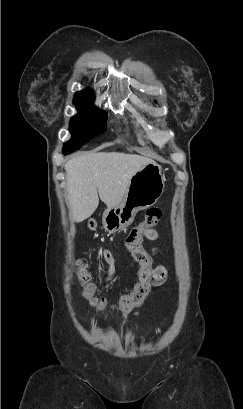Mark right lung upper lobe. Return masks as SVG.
<instances>
[{
    "label": "right lung upper lobe",
    "mask_w": 243,
    "mask_h": 409,
    "mask_svg": "<svg viewBox=\"0 0 243 409\" xmlns=\"http://www.w3.org/2000/svg\"><path fill=\"white\" fill-rule=\"evenodd\" d=\"M94 95L89 90L76 92L74 95V103L93 102Z\"/></svg>",
    "instance_id": "right-lung-upper-lobe-1"
}]
</instances>
